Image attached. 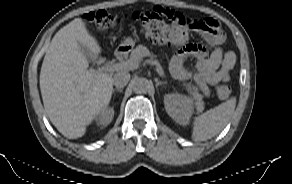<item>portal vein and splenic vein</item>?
Returning a JSON list of instances; mask_svg holds the SVG:
<instances>
[{
  "mask_svg": "<svg viewBox=\"0 0 292 184\" xmlns=\"http://www.w3.org/2000/svg\"><path fill=\"white\" fill-rule=\"evenodd\" d=\"M156 66V70L159 73L160 76L164 75V71L160 65V63L157 60H154L152 62ZM138 66V63L134 62L132 59H129L127 61H122L119 63H108L104 67H102L100 70L101 71H114L118 69H123V68H135Z\"/></svg>",
  "mask_w": 292,
  "mask_h": 184,
  "instance_id": "obj_1",
  "label": "portal vein and splenic vein"
}]
</instances>
